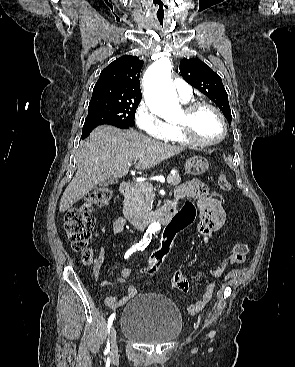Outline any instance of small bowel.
Wrapping results in <instances>:
<instances>
[{
    "instance_id": "1",
    "label": "small bowel",
    "mask_w": 295,
    "mask_h": 367,
    "mask_svg": "<svg viewBox=\"0 0 295 367\" xmlns=\"http://www.w3.org/2000/svg\"><path fill=\"white\" fill-rule=\"evenodd\" d=\"M186 195H191L192 198L197 200L196 208L199 215L197 230L202 242L207 244L209 243L212 234L220 230L225 224L226 214L224 208L220 205V201L217 199V196H213L208 187L200 180L192 179L180 184L175 188V202L184 199ZM125 227L126 220L124 218H117L113 223L114 234L120 237L123 234ZM104 259L105 251L102 250L94 261L93 266V273L99 285H120L130 280L132 276L130 269H123L121 271V276L116 278L114 281L102 279L100 277V269ZM223 268L224 267L220 265L217 268L212 269L210 274L215 278L219 277L223 271ZM172 282L174 286L181 291L186 292L189 288L188 281L181 271H177L174 274ZM215 287L216 285L214 282L208 283L202 298L195 303L188 305L187 309L191 315L200 313L206 307L213 297ZM138 293V288L131 285L123 297H118L115 295L108 296L104 299V304L111 310H117L126 304L130 299L137 296Z\"/></svg>"
}]
</instances>
